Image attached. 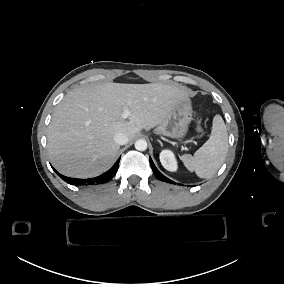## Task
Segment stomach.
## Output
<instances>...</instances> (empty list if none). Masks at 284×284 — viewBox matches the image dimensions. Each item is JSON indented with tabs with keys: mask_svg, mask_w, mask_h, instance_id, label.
I'll use <instances>...</instances> for the list:
<instances>
[{
	"mask_svg": "<svg viewBox=\"0 0 284 284\" xmlns=\"http://www.w3.org/2000/svg\"><path fill=\"white\" fill-rule=\"evenodd\" d=\"M193 119V111L189 98L181 101L155 129L157 134L172 138H183L188 130V125Z\"/></svg>",
	"mask_w": 284,
	"mask_h": 284,
	"instance_id": "0dacf381",
	"label": "stomach"
}]
</instances>
